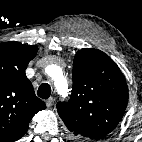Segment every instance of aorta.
I'll list each match as a JSON object with an SVG mask.
<instances>
[{
	"mask_svg": "<svg viewBox=\"0 0 142 142\" xmlns=\"http://www.w3.org/2000/svg\"><path fill=\"white\" fill-rule=\"evenodd\" d=\"M51 76L54 79L55 85L57 89L59 90V92L62 95L67 94L68 85L61 68L58 66H53Z\"/></svg>",
	"mask_w": 142,
	"mask_h": 142,
	"instance_id": "aorta-1",
	"label": "aorta"
}]
</instances>
